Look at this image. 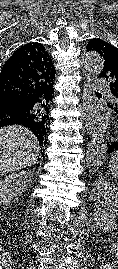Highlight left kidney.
Returning <instances> with one entry per match:
<instances>
[{"mask_svg":"<svg viewBox=\"0 0 118 269\" xmlns=\"http://www.w3.org/2000/svg\"><path fill=\"white\" fill-rule=\"evenodd\" d=\"M90 199L96 201L94 220L103 232L113 229L118 220V188L105 177L95 182Z\"/></svg>","mask_w":118,"mask_h":269,"instance_id":"5707ae66","label":"left kidney"}]
</instances>
